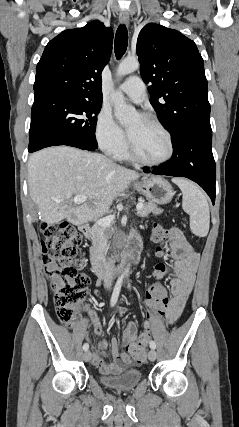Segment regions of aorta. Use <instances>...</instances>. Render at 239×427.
Instances as JSON below:
<instances>
[{"label": "aorta", "instance_id": "aorta-1", "mask_svg": "<svg viewBox=\"0 0 239 427\" xmlns=\"http://www.w3.org/2000/svg\"><path fill=\"white\" fill-rule=\"evenodd\" d=\"M139 68V62L136 59H125L117 68V76L123 77L128 75ZM111 100L114 107V113L116 118L122 125H125L132 121L137 112L133 106L126 104L123 94L119 91H113L111 94ZM129 274V267L125 269L124 275Z\"/></svg>", "mask_w": 239, "mask_h": 427}]
</instances>
